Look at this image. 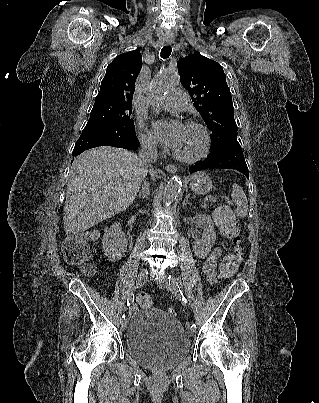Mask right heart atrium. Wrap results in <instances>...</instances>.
<instances>
[{"instance_id": "d8ad5b80", "label": "right heart atrium", "mask_w": 319, "mask_h": 403, "mask_svg": "<svg viewBox=\"0 0 319 403\" xmlns=\"http://www.w3.org/2000/svg\"><path fill=\"white\" fill-rule=\"evenodd\" d=\"M138 128H139V140L142 146L148 150H155L156 149L155 137L150 131L147 130L143 120H139Z\"/></svg>"}]
</instances>
